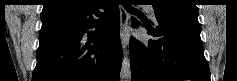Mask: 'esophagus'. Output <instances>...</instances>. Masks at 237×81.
Wrapping results in <instances>:
<instances>
[{
	"label": "esophagus",
	"instance_id": "obj_1",
	"mask_svg": "<svg viewBox=\"0 0 237 81\" xmlns=\"http://www.w3.org/2000/svg\"><path fill=\"white\" fill-rule=\"evenodd\" d=\"M120 37L122 46L126 48L130 40V34L128 29L129 14L123 6H120Z\"/></svg>",
	"mask_w": 237,
	"mask_h": 81
}]
</instances>
